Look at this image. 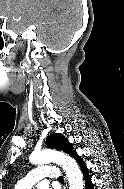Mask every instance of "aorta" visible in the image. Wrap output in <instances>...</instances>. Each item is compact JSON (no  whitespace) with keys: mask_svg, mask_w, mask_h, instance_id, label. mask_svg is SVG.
Instances as JSON below:
<instances>
[{"mask_svg":"<svg viewBox=\"0 0 124 189\" xmlns=\"http://www.w3.org/2000/svg\"><path fill=\"white\" fill-rule=\"evenodd\" d=\"M29 160L32 164H47L51 162H55L60 164L62 168L65 170L66 175L69 180V189H83L84 182L83 176L78 167L76 161L70 156L65 155L62 152H58L55 150H41L33 152Z\"/></svg>","mask_w":124,"mask_h":189,"instance_id":"762f6f07","label":"aorta"}]
</instances>
